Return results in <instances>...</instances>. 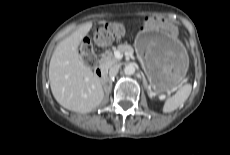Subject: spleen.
I'll use <instances>...</instances> for the list:
<instances>
[{
  "label": "spleen",
  "mask_w": 230,
  "mask_h": 155,
  "mask_svg": "<svg viewBox=\"0 0 230 155\" xmlns=\"http://www.w3.org/2000/svg\"><path fill=\"white\" fill-rule=\"evenodd\" d=\"M192 90V86L190 84H186L181 87L173 96L166 99L163 112L170 113L179 108L181 105L185 103L188 99Z\"/></svg>",
  "instance_id": "spleen-1"
}]
</instances>
